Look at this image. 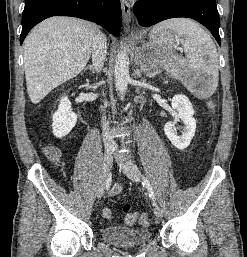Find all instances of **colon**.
Segmentation results:
<instances>
[{
  "label": "colon",
  "mask_w": 247,
  "mask_h": 257,
  "mask_svg": "<svg viewBox=\"0 0 247 257\" xmlns=\"http://www.w3.org/2000/svg\"><path fill=\"white\" fill-rule=\"evenodd\" d=\"M211 106H213V103L211 102ZM46 155L48 158H54L57 156V150L55 147H47L46 150ZM124 213H125V223L127 225H132L136 221L139 222V224L143 227H147L149 225V216L146 213H140V214H134L130 212V205L126 204L123 208ZM102 217L106 221H110L113 217V213L109 208H105L102 211Z\"/></svg>",
  "instance_id": "colon-1"
}]
</instances>
